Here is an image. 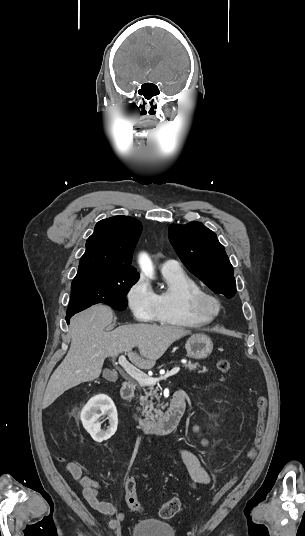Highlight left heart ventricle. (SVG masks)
Listing matches in <instances>:
<instances>
[{
  "instance_id": "left-heart-ventricle-1",
  "label": "left heart ventricle",
  "mask_w": 305,
  "mask_h": 536,
  "mask_svg": "<svg viewBox=\"0 0 305 536\" xmlns=\"http://www.w3.org/2000/svg\"><path fill=\"white\" fill-rule=\"evenodd\" d=\"M211 312H214L217 309V304L215 302L210 303Z\"/></svg>"
}]
</instances>
